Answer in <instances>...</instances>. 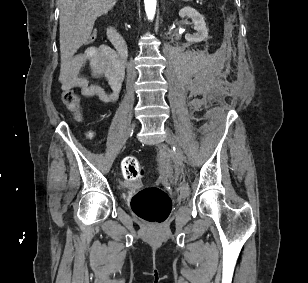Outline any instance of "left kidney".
I'll return each mask as SVG.
<instances>
[{
  "label": "left kidney",
  "instance_id": "5707ae66",
  "mask_svg": "<svg viewBox=\"0 0 308 283\" xmlns=\"http://www.w3.org/2000/svg\"><path fill=\"white\" fill-rule=\"evenodd\" d=\"M179 15L182 18H191L195 25L194 29L196 30V33L194 35H185V39L188 42H201L207 38L208 29L206 27L204 17L199 12L191 7H184L179 11Z\"/></svg>",
  "mask_w": 308,
  "mask_h": 283
}]
</instances>
